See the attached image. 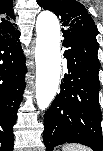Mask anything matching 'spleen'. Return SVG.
<instances>
[{"label": "spleen", "instance_id": "1", "mask_svg": "<svg viewBox=\"0 0 103 151\" xmlns=\"http://www.w3.org/2000/svg\"><path fill=\"white\" fill-rule=\"evenodd\" d=\"M62 151H92V150L80 144H67L63 146Z\"/></svg>", "mask_w": 103, "mask_h": 151}]
</instances>
